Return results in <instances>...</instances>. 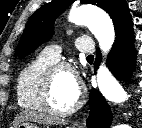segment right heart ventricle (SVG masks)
<instances>
[{
    "label": "right heart ventricle",
    "mask_w": 142,
    "mask_h": 128,
    "mask_svg": "<svg viewBox=\"0 0 142 128\" xmlns=\"http://www.w3.org/2000/svg\"><path fill=\"white\" fill-rule=\"evenodd\" d=\"M55 62L39 54L19 73L16 81L18 104L27 110H42L40 91L46 70Z\"/></svg>",
    "instance_id": "e07e8e85"
}]
</instances>
